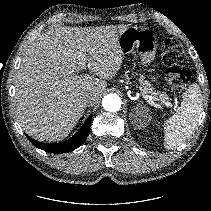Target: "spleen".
<instances>
[{
    "label": "spleen",
    "instance_id": "spleen-1",
    "mask_svg": "<svg viewBox=\"0 0 211 211\" xmlns=\"http://www.w3.org/2000/svg\"><path fill=\"white\" fill-rule=\"evenodd\" d=\"M203 96L197 84H191L184 93L180 107L164 122V147L174 149L194 132L202 112Z\"/></svg>",
    "mask_w": 211,
    "mask_h": 211
}]
</instances>
